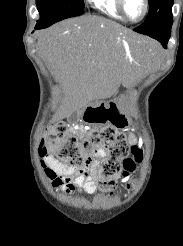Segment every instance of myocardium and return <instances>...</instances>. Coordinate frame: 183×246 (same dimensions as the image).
I'll return each instance as SVG.
<instances>
[{
    "mask_svg": "<svg viewBox=\"0 0 183 246\" xmlns=\"http://www.w3.org/2000/svg\"><path fill=\"white\" fill-rule=\"evenodd\" d=\"M117 1V6H118V9L121 13V15L125 18L126 21L128 22H131V23H138L140 21H142L148 14V11H149V1L148 0H142V3H143V6H144V10H143V13L142 15L140 16L139 19L137 20H133L131 19L128 15H127V12H126V7H125V4H126V0H116Z\"/></svg>",
    "mask_w": 183,
    "mask_h": 246,
    "instance_id": "f54148a6",
    "label": "myocardium"
}]
</instances>
